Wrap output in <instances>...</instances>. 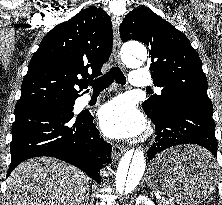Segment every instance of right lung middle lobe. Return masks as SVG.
I'll use <instances>...</instances> for the list:
<instances>
[{
  "label": "right lung middle lobe",
  "mask_w": 222,
  "mask_h": 205,
  "mask_svg": "<svg viewBox=\"0 0 222 205\" xmlns=\"http://www.w3.org/2000/svg\"><path fill=\"white\" fill-rule=\"evenodd\" d=\"M45 103L59 105V106L65 107V108L72 109L75 101H72V102H67V101H50V102H45Z\"/></svg>",
  "instance_id": "right-lung-middle-lobe-1"
}]
</instances>
